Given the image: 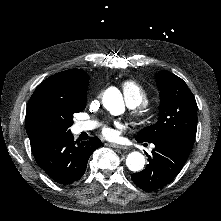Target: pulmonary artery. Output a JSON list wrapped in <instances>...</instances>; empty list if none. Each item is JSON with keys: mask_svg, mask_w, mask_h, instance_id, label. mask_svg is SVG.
I'll return each instance as SVG.
<instances>
[{"mask_svg": "<svg viewBox=\"0 0 221 221\" xmlns=\"http://www.w3.org/2000/svg\"><path fill=\"white\" fill-rule=\"evenodd\" d=\"M127 90H126V95H127V106L129 109L134 110L138 108L141 104V95L136 88L137 83L135 80L130 79L126 83ZM97 125L96 121H89V122H81L78 125L79 130L81 131H88L93 129Z\"/></svg>", "mask_w": 221, "mask_h": 221, "instance_id": "1", "label": "pulmonary artery"}]
</instances>
